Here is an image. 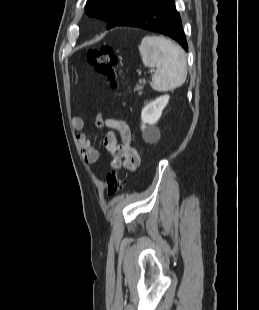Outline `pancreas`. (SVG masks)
I'll return each mask as SVG.
<instances>
[{
    "mask_svg": "<svg viewBox=\"0 0 259 310\" xmlns=\"http://www.w3.org/2000/svg\"><path fill=\"white\" fill-rule=\"evenodd\" d=\"M142 84H145V80H143V79H140L139 80V85H136V87H135V91H139V95H141L142 94V89H143V85Z\"/></svg>",
    "mask_w": 259,
    "mask_h": 310,
    "instance_id": "cf45deb5",
    "label": "pancreas"
}]
</instances>
